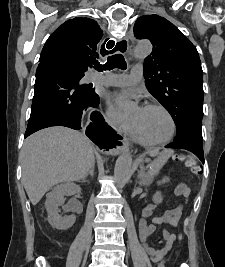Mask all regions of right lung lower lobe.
Returning a JSON list of instances; mask_svg holds the SVG:
<instances>
[{
	"mask_svg": "<svg viewBox=\"0 0 225 267\" xmlns=\"http://www.w3.org/2000/svg\"><path fill=\"white\" fill-rule=\"evenodd\" d=\"M84 76L55 61H41L36 70L34 97L25 138L51 126L81 129L83 111L98 106L79 84ZM86 135L100 148L115 147L118 135L105 124L100 113L93 111Z\"/></svg>",
	"mask_w": 225,
	"mask_h": 267,
	"instance_id": "right-lung-lower-lobe-1",
	"label": "right lung lower lobe"
}]
</instances>
